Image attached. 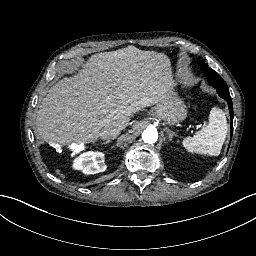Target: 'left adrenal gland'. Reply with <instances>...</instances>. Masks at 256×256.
<instances>
[{
  "mask_svg": "<svg viewBox=\"0 0 256 256\" xmlns=\"http://www.w3.org/2000/svg\"><path fill=\"white\" fill-rule=\"evenodd\" d=\"M164 130L167 132L170 141L173 140V137H174V136H177V135L175 134V132L171 131L168 127L165 128Z\"/></svg>",
  "mask_w": 256,
  "mask_h": 256,
  "instance_id": "left-adrenal-gland-1",
  "label": "left adrenal gland"
}]
</instances>
